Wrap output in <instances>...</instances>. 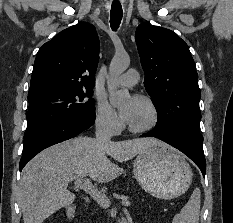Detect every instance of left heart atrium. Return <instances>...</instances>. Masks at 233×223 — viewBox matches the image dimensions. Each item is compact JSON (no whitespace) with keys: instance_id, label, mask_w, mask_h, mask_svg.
Returning <instances> with one entry per match:
<instances>
[{"instance_id":"left-heart-atrium-1","label":"left heart atrium","mask_w":233,"mask_h":223,"mask_svg":"<svg viewBox=\"0 0 233 223\" xmlns=\"http://www.w3.org/2000/svg\"><path fill=\"white\" fill-rule=\"evenodd\" d=\"M136 110L137 98L133 97L127 103H125L119 111L120 117L123 122H125L126 124H130L135 117Z\"/></svg>"}]
</instances>
